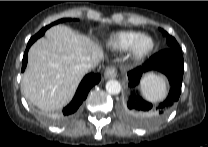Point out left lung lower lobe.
Segmentation results:
<instances>
[{
	"label": "left lung lower lobe",
	"instance_id": "1",
	"mask_svg": "<svg viewBox=\"0 0 208 147\" xmlns=\"http://www.w3.org/2000/svg\"><path fill=\"white\" fill-rule=\"evenodd\" d=\"M157 70L165 74L171 85V89L166 100L158 108L159 114L166 113L181 94V85L184 72V60L181 51L167 48L154 54L142 67L128 73L129 86L135 87L143 72ZM152 109V104L146 102L141 97H130L127 106L123 108L122 114L129 119L137 120L140 113L148 112Z\"/></svg>",
	"mask_w": 208,
	"mask_h": 147
}]
</instances>
